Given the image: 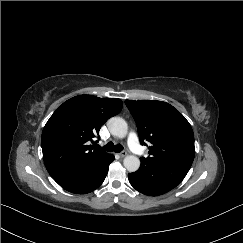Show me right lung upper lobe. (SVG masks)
<instances>
[{"label": "right lung upper lobe", "instance_id": "cb5924a9", "mask_svg": "<svg viewBox=\"0 0 243 243\" xmlns=\"http://www.w3.org/2000/svg\"><path fill=\"white\" fill-rule=\"evenodd\" d=\"M121 109L120 99L92 95L75 96L59 106L42 132L43 159L51 177L82 169L107 155L89 141Z\"/></svg>", "mask_w": 243, "mask_h": 243}]
</instances>
